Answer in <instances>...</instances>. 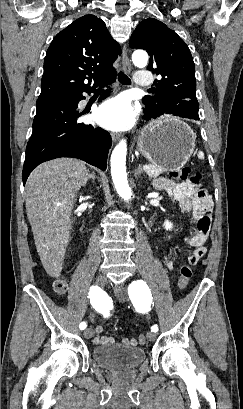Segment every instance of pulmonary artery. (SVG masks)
<instances>
[{
  "label": "pulmonary artery",
  "mask_w": 243,
  "mask_h": 409,
  "mask_svg": "<svg viewBox=\"0 0 243 409\" xmlns=\"http://www.w3.org/2000/svg\"><path fill=\"white\" fill-rule=\"evenodd\" d=\"M134 81L138 87H147L151 85L152 77L147 71H138Z\"/></svg>",
  "instance_id": "obj_1"
}]
</instances>
